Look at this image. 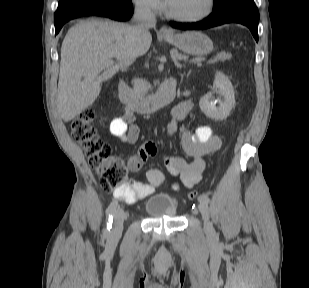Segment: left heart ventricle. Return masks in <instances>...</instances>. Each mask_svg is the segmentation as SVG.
I'll return each instance as SVG.
<instances>
[{"label": "left heart ventricle", "instance_id": "left-heart-ventricle-1", "mask_svg": "<svg viewBox=\"0 0 309 288\" xmlns=\"http://www.w3.org/2000/svg\"><path fill=\"white\" fill-rule=\"evenodd\" d=\"M170 9L179 15L196 16L207 8V0H169Z\"/></svg>", "mask_w": 309, "mask_h": 288}]
</instances>
